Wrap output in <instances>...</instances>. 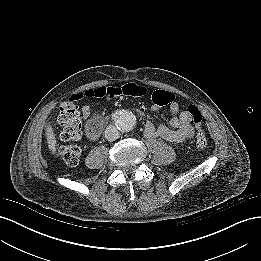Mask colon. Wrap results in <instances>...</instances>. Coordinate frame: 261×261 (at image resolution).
<instances>
[{
  "instance_id": "5ec220e1",
  "label": "colon",
  "mask_w": 261,
  "mask_h": 261,
  "mask_svg": "<svg viewBox=\"0 0 261 261\" xmlns=\"http://www.w3.org/2000/svg\"><path fill=\"white\" fill-rule=\"evenodd\" d=\"M151 94L153 102L162 107L168 105L174 100V95L167 91L155 90L135 84L128 83L121 86H101L87 91L85 94H78L72 99L61 104L58 122L62 126L61 139L64 142L77 141L82 136L83 123L80 112L75 101L87 97H95L102 100H110L122 96L142 97ZM192 117L196 126V141L195 145L199 149H204L207 145V138L202 128V115L199 109L194 105H189L186 109ZM100 121L94 118L89 125L91 136L95 137L98 134ZM59 155L66 164L74 166L79 162L81 149L77 145L68 144L62 145L59 148Z\"/></svg>"
}]
</instances>
